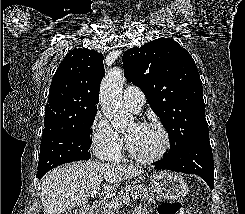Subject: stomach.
<instances>
[{"instance_id": "0dacf381", "label": "stomach", "mask_w": 245, "mask_h": 214, "mask_svg": "<svg viewBox=\"0 0 245 214\" xmlns=\"http://www.w3.org/2000/svg\"><path fill=\"white\" fill-rule=\"evenodd\" d=\"M151 188L161 197L179 200L189 191L186 180L179 174L161 171L151 177Z\"/></svg>"}]
</instances>
